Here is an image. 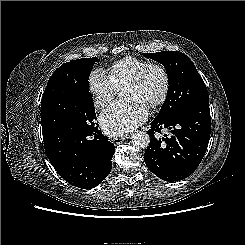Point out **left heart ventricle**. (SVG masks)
Returning a JSON list of instances; mask_svg holds the SVG:
<instances>
[{
  "instance_id": "obj_1",
  "label": "left heart ventricle",
  "mask_w": 245,
  "mask_h": 245,
  "mask_svg": "<svg viewBox=\"0 0 245 245\" xmlns=\"http://www.w3.org/2000/svg\"><path fill=\"white\" fill-rule=\"evenodd\" d=\"M163 79L161 73L153 69L148 72L144 80L137 86L125 87L123 89V97H137L150 105L157 99L162 91Z\"/></svg>"
}]
</instances>
